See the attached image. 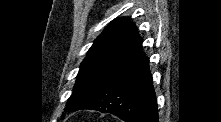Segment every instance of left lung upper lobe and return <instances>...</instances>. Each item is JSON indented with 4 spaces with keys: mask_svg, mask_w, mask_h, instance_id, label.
Segmentation results:
<instances>
[{
    "mask_svg": "<svg viewBox=\"0 0 221 122\" xmlns=\"http://www.w3.org/2000/svg\"><path fill=\"white\" fill-rule=\"evenodd\" d=\"M134 29L128 19L118 18L99 35L81 63L65 110H78L95 94L121 58Z\"/></svg>",
    "mask_w": 221,
    "mask_h": 122,
    "instance_id": "1",
    "label": "left lung upper lobe"
}]
</instances>
